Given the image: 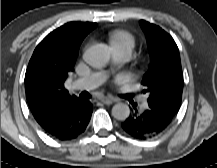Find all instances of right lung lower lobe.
<instances>
[{"label":"right lung lower lobe","mask_w":217,"mask_h":168,"mask_svg":"<svg viewBox=\"0 0 217 168\" xmlns=\"http://www.w3.org/2000/svg\"><path fill=\"white\" fill-rule=\"evenodd\" d=\"M92 111V104L89 101L79 100L62 106L49 119L39 124L52 137L71 140L85 131Z\"/></svg>","instance_id":"obj_1"}]
</instances>
